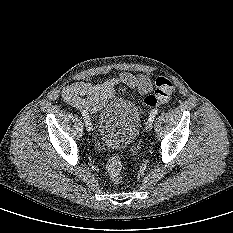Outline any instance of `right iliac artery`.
Wrapping results in <instances>:
<instances>
[{
    "label": "right iliac artery",
    "instance_id": "82829eb1",
    "mask_svg": "<svg viewBox=\"0 0 233 233\" xmlns=\"http://www.w3.org/2000/svg\"><path fill=\"white\" fill-rule=\"evenodd\" d=\"M82 116H83V119L85 121V124H88L89 123L88 113L86 111H82Z\"/></svg>",
    "mask_w": 233,
    "mask_h": 233
}]
</instances>
